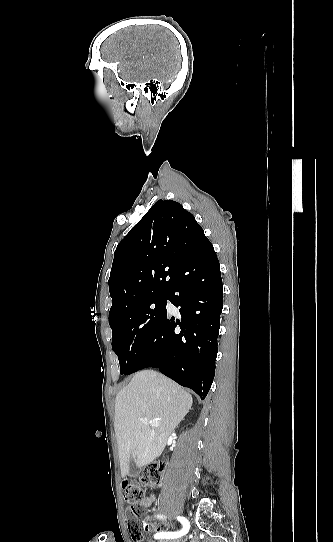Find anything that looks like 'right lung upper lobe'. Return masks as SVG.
Returning a JSON list of instances; mask_svg holds the SVG:
<instances>
[{
    "mask_svg": "<svg viewBox=\"0 0 333 542\" xmlns=\"http://www.w3.org/2000/svg\"><path fill=\"white\" fill-rule=\"evenodd\" d=\"M207 240L195 217L180 203L157 201L114 252L109 319L168 295L182 277L179 252Z\"/></svg>",
    "mask_w": 333,
    "mask_h": 542,
    "instance_id": "1",
    "label": "right lung upper lobe"
}]
</instances>
